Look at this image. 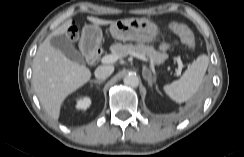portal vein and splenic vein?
Here are the masks:
<instances>
[{"mask_svg":"<svg viewBox=\"0 0 244 157\" xmlns=\"http://www.w3.org/2000/svg\"><path fill=\"white\" fill-rule=\"evenodd\" d=\"M130 54L132 56L138 58V59L143 60V61H147L148 60L144 55H141V54H138V53H135V52H131ZM117 60H118V56L117 55L110 54V55L103 56L101 58V63L102 64H112V63H115ZM177 63H178L177 75H180L181 74V70L184 67V65H183L182 61L180 60V58H177Z\"/></svg>","mask_w":244,"mask_h":157,"instance_id":"obj_1","label":"portal vein and splenic vein"}]
</instances>
